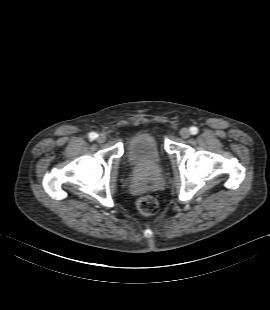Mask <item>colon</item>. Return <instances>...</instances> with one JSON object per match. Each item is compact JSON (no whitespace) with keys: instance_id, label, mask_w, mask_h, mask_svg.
I'll use <instances>...</instances> for the list:
<instances>
[{"instance_id":"1","label":"colon","mask_w":270,"mask_h":310,"mask_svg":"<svg viewBox=\"0 0 270 310\" xmlns=\"http://www.w3.org/2000/svg\"><path fill=\"white\" fill-rule=\"evenodd\" d=\"M137 209L143 215H154L159 210L158 200L153 196H141L136 201Z\"/></svg>"}]
</instances>
